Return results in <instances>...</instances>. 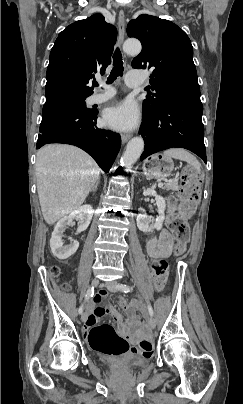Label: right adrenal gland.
<instances>
[{
    "label": "right adrenal gland",
    "mask_w": 243,
    "mask_h": 404,
    "mask_svg": "<svg viewBox=\"0 0 243 404\" xmlns=\"http://www.w3.org/2000/svg\"><path fill=\"white\" fill-rule=\"evenodd\" d=\"M99 182H100V178H98V180H97L95 186H93V188H91L90 192H96L97 186H98Z\"/></svg>",
    "instance_id": "obj_1"
}]
</instances>
